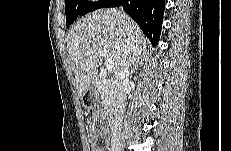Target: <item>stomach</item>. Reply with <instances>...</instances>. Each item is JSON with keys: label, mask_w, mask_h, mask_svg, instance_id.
Listing matches in <instances>:
<instances>
[{"label": "stomach", "mask_w": 231, "mask_h": 151, "mask_svg": "<svg viewBox=\"0 0 231 151\" xmlns=\"http://www.w3.org/2000/svg\"><path fill=\"white\" fill-rule=\"evenodd\" d=\"M90 93H92V94H94V95L97 94V92H96V90H95L94 88H92V89L90 90Z\"/></svg>", "instance_id": "stomach-1"}]
</instances>
